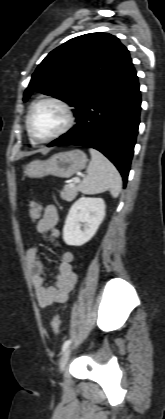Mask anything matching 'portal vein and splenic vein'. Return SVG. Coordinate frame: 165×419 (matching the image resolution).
Returning <instances> with one entry per match:
<instances>
[{"instance_id":"portal-vein-and-splenic-vein-1","label":"portal vein and splenic vein","mask_w":165,"mask_h":419,"mask_svg":"<svg viewBox=\"0 0 165 419\" xmlns=\"http://www.w3.org/2000/svg\"><path fill=\"white\" fill-rule=\"evenodd\" d=\"M74 183H78V182H80V178H78V177H76V178H74V181H73ZM72 184V183H71Z\"/></svg>"}]
</instances>
